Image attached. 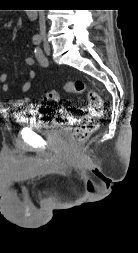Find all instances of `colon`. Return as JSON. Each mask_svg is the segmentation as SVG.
<instances>
[{"label": "colon", "instance_id": "5ec220e1", "mask_svg": "<svg viewBox=\"0 0 138 253\" xmlns=\"http://www.w3.org/2000/svg\"><path fill=\"white\" fill-rule=\"evenodd\" d=\"M63 90L66 93L84 94L88 99V108L79 117L78 125L72 134V141L74 143L84 142L98 128V119L103 113V99L97 92L89 89L81 80L66 83ZM43 99L55 102L59 99V93L55 90L47 92L44 94Z\"/></svg>", "mask_w": 138, "mask_h": 253}]
</instances>
